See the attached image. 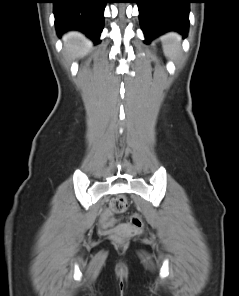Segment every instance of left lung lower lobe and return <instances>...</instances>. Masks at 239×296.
Masks as SVG:
<instances>
[{"label": "left lung lower lobe", "mask_w": 239, "mask_h": 296, "mask_svg": "<svg viewBox=\"0 0 239 296\" xmlns=\"http://www.w3.org/2000/svg\"><path fill=\"white\" fill-rule=\"evenodd\" d=\"M136 3L146 43L168 31L187 36L192 0H136Z\"/></svg>", "instance_id": "obj_1"}]
</instances>
